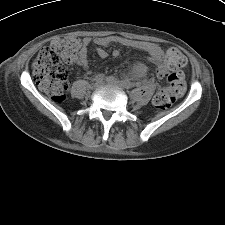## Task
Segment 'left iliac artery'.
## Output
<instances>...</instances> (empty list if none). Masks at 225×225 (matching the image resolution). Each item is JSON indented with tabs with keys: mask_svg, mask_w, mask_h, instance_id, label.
<instances>
[{
	"mask_svg": "<svg viewBox=\"0 0 225 225\" xmlns=\"http://www.w3.org/2000/svg\"><path fill=\"white\" fill-rule=\"evenodd\" d=\"M124 84L126 85L127 88H130L131 87V84L129 82H125L124 81Z\"/></svg>",
	"mask_w": 225,
	"mask_h": 225,
	"instance_id": "1",
	"label": "left iliac artery"
}]
</instances>
